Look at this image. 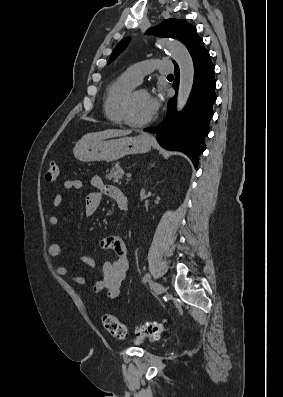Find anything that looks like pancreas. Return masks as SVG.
Listing matches in <instances>:
<instances>
[{"mask_svg":"<svg viewBox=\"0 0 283 397\" xmlns=\"http://www.w3.org/2000/svg\"><path fill=\"white\" fill-rule=\"evenodd\" d=\"M124 177V171L120 167L119 163H115L110 172L106 175V178L111 180L113 179L114 183L121 184V180Z\"/></svg>","mask_w":283,"mask_h":397,"instance_id":"obj_1","label":"pancreas"}]
</instances>
